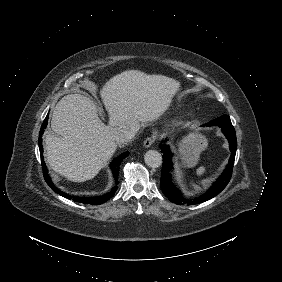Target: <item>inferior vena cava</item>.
I'll list each match as a JSON object with an SVG mask.
<instances>
[{"instance_id":"1","label":"inferior vena cava","mask_w":282,"mask_h":282,"mask_svg":"<svg viewBox=\"0 0 282 282\" xmlns=\"http://www.w3.org/2000/svg\"><path fill=\"white\" fill-rule=\"evenodd\" d=\"M135 130L130 127H121L114 131V140L117 145H124L125 143L131 141L135 135Z\"/></svg>"}]
</instances>
